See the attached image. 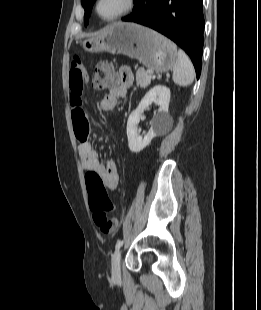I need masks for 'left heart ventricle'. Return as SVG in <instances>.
<instances>
[{"instance_id": "1", "label": "left heart ventricle", "mask_w": 261, "mask_h": 310, "mask_svg": "<svg viewBox=\"0 0 261 310\" xmlns=\"http://www.w3.org/2000/svg\"><path fill=\"white\" fill-rule=\"evenodd\" d=\"M123 6V0H102L99 5V11L103 16H112Z\"/></svg>"}]
</instances>
